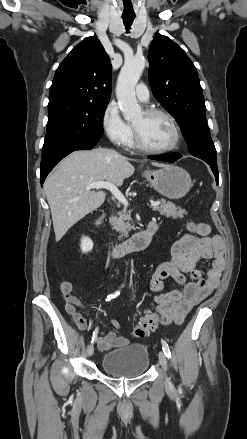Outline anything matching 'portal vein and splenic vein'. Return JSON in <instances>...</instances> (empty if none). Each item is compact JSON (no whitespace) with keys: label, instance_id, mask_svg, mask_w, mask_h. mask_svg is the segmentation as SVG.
<instances>
[{"label":"portal vein and splenic vein","instance_id":"portal-vein-and-splenic-vein-1","mask_svg":"<svg viewBox=\"0 0 247 439\" xmlns=\"http://www.w3.org/2000/svg\"><path fill=\"white\" fill-rule=\"evenodd\" d=\"M86 188H87V190H90V189H101V188L108 189V190H110L112 192V194L117 198V200L119 202H121L125 207L128 206L127 199L119 191V189L115 185L110 183V182H107V181L95 182V183H91V184L87 185ZM160 204H161V202L154 201V202H151L150 205H151V207H156V206H159Z\"/></svg>","mask_w":247,"mask_h":439}]
</instances>
